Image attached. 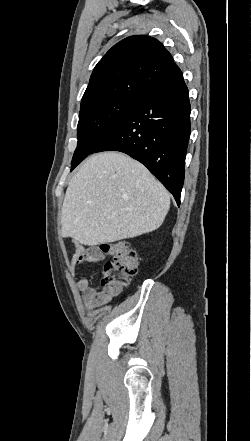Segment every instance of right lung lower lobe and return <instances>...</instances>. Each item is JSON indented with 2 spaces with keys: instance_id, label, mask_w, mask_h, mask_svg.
Instances as JSON below:
<instances>
[{
  "instance_id": "98d812e1",
  "label": "right lung lower lobe",
  "mask_w": 251,
  "mask_h": 441,
  "mask_svg": "<svg viewBox=\"0 0 251 441\" xmlns=\"http://www.w3.org/2000/svg\"><path fill=\"white\" fill-rule=\"evenodd\" d=\"M190 132L189 92L179 71L143 94L91 153L120 151L138 160L179 206Z\"/></svg>"
}]
</instances>
